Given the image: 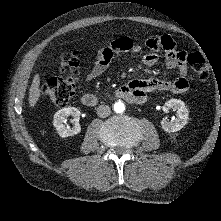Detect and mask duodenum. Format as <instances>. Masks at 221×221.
<instances>
[{"instance_id": "1", "label": "duodenum", "mask_w": 221, "mask_h": 221, "mask_svg": "<svg viewBox=\"0 0 221 221\" xmlns=\"http://www.w3.org/2000/svg\"><path fill=\"white\" fill-rule=\"evenodd\" d=\"M112 97L122 98L124 100L129 101V102L138 103L136 94L133 92V90L128 85H124V86H121L120 88L116 89L114 91V93L112 94ZM81 101L84 106L89 107V108H93L99 104L100 99L97 95H95L93 93H85L82 96Z\"/></svg>"}]
</instances>
